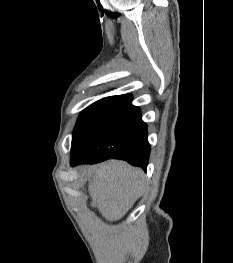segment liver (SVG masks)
I'll use <instances>...</instances> for the list:
<instances>
[{"label": "liver", "mask_w": 233, "mask_h": 263, "mask_svg": "<svg viewBox=\"0 0 233 263\" xmlns=\"http://www.w3.org/2000/svg\"><path fill=\"white\" fill-rule=\"evenodd\" d=\"M84 171L92 176L91 199L109 221L121 219L145 191L143 171L124 161L110 160Z\"/></svg>", "instance_id": "1"}]
</instances>
